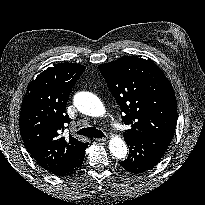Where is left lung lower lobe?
Listing matches in <instances>:
<instances>
[{"instance_id": "obj_1", "label": "left lung lower lobe", "mask_w": 205, "mask_h": 205, "mask_svg": "<svg viewBox=\"0 0 205 205\" xmlns=\"http://www.w3.org/2000/svg\"><path fill=\"white\" fill-rule=\"evenodd\" d=\"M173 135H152L146 137H125L129 156L119 164L129 173L143 174L161 160Z\"/></svg>"}]
</instances>
